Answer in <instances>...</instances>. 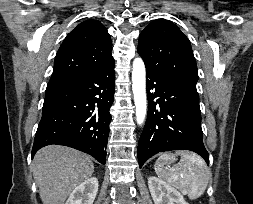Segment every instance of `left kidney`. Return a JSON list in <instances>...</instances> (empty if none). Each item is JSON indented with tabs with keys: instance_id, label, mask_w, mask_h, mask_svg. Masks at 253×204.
I'll use <instances>...</instances> for the list:
<instances>
[{
	"instance_id": "left-kidney-1",
	"label": "left kidney",
	"mask_w": 253,
	"mask_h": 204,
	"mask_svg": "<svg viewBox=\"0 0 253 204\" xmlns=\"http://www.w3.org/2000/svg\"><path fill=\"white\" fill-rule=\"evenodd\" d=\"M148 187L155 204H189L179 191L157 177L148 178Z\"/></svg>"
}]
</instances>
